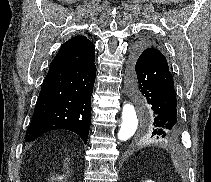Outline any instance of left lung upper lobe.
I'll use <instances>...</instances> for the list:
<instances>
[{
  "label": "left lung upper lobe",
  "mask_w": 211,
  "mask_h": 182,
  "mask_svg": "<svg viewBox=\"0 0 211 182\" xmlns=\"http://www.w3.org/2000/svg\"><path fill=\"white\" fill-rule=\"evenodd\" d=\"M152 46L160 50V46L157 41L147 40ZM148 131V130H147Z\"/></svg>",
  "instance_id": "obj_1"
}]
</instances>
